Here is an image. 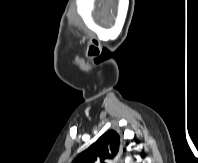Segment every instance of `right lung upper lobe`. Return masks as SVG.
I'll list each match as a JSON object with an SVG mask.
<instances>
[{"instance_id":"cb5924a9","label":"right lung upper lobe","mask_w":198,"mask_h":163,"mask_svg":"<svg viewBox=\"0 0 198 163\" xmlns=\"http://www.w3.org/2000/svg\"><path fill=\"white\" fill-rule=\"evenodd\" d=\"M120 137L114 130L103 134L95 143L81 152L72 163H105L118 152Z\"/></svg>"}]
</instances>
